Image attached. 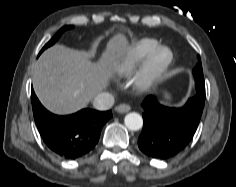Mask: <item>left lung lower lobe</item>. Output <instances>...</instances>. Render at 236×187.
<instances>
[{"label":"left lung lower lobe","instance_id":"0a47b994","mask_svg":"<svg viewBox=\"0 0 236 187\" xmlns=\"http://www.w3.org/2000/svg\"><path fill=\"white\" fill-rule=\"evenodd\" d=\"M204 102L205 95L198 92L181 108L163 106L152 95L146 97L142 103L144 125L138 139L140 150L158 159L176 155L192 139Z\"/></svg>","mask_w":236,"mask_h":187}]
</instances>
